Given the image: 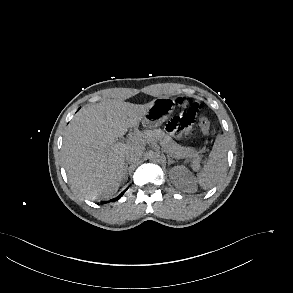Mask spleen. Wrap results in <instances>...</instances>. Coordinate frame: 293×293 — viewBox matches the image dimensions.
Listing matches in <instances>:
<instances>
[{
    "label": "spleen",
    "mask_w": 293,
    "mask_h": 293,
    "mask_svg": "<svg viewBox=\"0 0 293 293\" xmlns=\"http://www.w3.org/2000/svg\"><path fill=\"white\" fill-rule=\"evenodd\" d=\"M227 165V143L222 135H218L204 167L197 174V181L203 189L211 188Z\"/></svg>",
    "instance_id": "3e777b00"
}]
</instances>
